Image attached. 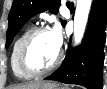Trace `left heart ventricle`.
I'll use <instances>...</instances> for the list:
<instances>
[{
	"label": "left heart ventricle",
	"mask_w": 107,
	"mask_h": 89,
	"mask_svg": "<svg viewBox=\"0 0 107 89\" xmlns=\"http://www.w3.org/2000/svg\"><path fill=\"white\" fill-rule=\"evenodd\" d=\"M59 49L56 47L50 32L40 34L33 42L29 61L36 67H47L57 58Z\"/></svg>",
	"instance_id": "1"
}]
</instances>
